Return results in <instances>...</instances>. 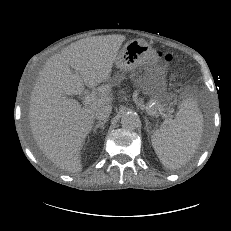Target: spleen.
Listing matches in <instances>:
<instances>
[{
    "mask_svg": "<svg viewBox=\"0 0 231 231\" xmlns=\"http://www.w3.org/2000/svg\"><path fill=\"white\" fill-rule=\"evenodd\" d=\"M203 122L196 102L186 98L180 104L175 119L152 134V146L164 167L178 169L190 161L199 147Z\"/></svg>",
    "mask_w": 231,
    "mask_h": 231,
    "instance_id": "spleen-1",
    "label": "spleen"
}]
</instances>
